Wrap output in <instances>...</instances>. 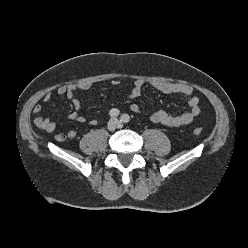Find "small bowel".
I'll return each mask as SVG.
<instances>
[{
	"label": "small bowel",
	"mask_w": 248,
	"mask_h": 248,
	"mask_svg": "<svg viewBox=\"0 0 248 248\" xmlns=\"http://www.w3.org/2000/svg\"><path fill=\"white\" fill-rule=\"evenodd\" d=\"M111 84L116 86L119 84V80L114 79L111 81ZM144 82L142 80H135L133 86L130 90L129 96L132 99L138 98L141 95L142 88ZM150 85L166 94H179L186 98L188 105L190 106V110L182 115L173 116L167 113L164 110H157L151 114H149V119L153 123H157L169 128H180L186 125H189L194 121V119L201 113L200 109V99L198 96L193 94V89L185 84L180 83H170V82H163V81H154L151 82ZM92 87L91 82H82L68 86H60L56 89L58 95L66 96L73 105V111L70 113L69 118L73 121L79 123L87 122L86 117L81 113V101L79 97L76 95L78 91H85ZM52 98L51 93H46L43 96V101L45 103L49 102ZM130 109L134 113H140L141 108L138 104H132ZM33 112L35 114L34 124L37 128L53 132L56 129V123L51 119L45 117L43 115V109L40 104H36L33 108ZM89 123L93 126L98 124V121L92 119ZM77 135L75 130H69L66 134L57 133L55 135V139L57 141H64L66 138L74 139Z\"/></svg>",
	"instance_id": "1"
}]
</instances>
